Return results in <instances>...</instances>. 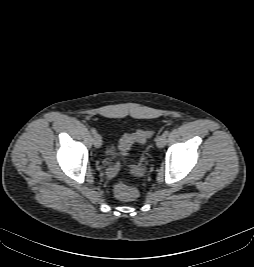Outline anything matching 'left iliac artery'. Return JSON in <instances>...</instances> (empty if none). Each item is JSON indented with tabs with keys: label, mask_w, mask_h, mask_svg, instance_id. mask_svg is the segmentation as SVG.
Returning <instances> with one entry per match:
<instances>
[{
	"label": "left iliac artery",
	"mask_w": 254,
	"mask_h": 267,
	"mask_svg": "<svg viewBox=\"0 0 254 267\" xmlns=\"http://www.w3.org/2000/svg\"><path fill=\"white\" fill-rule=\"evenodd\" d=\"M163 135L168 136L169 135V130L164 131Z\"/></svg>",
	"instance_id": "44dca946"
}]
</instances>
